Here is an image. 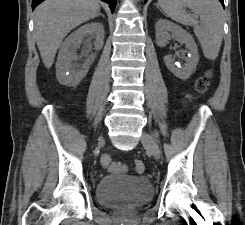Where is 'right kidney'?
Segmentation results:
<instances>
[{"label": "right kidney", "mask_w": 245, "mask_h": 225, "mask_svg": "<svg viewBox=\"0 0 245 225\" xmlns=\"http://www.w3.org/2000/svg\"><path fill=\"white\" fill-rule=\"evenodd\" d=\"M85 38L87 48L91 47V40L94 39L95 49L100 50L104 45L103 25L97 22L85 24L71 33L61 44L56 62V77L62 85L77 86L88 73L93 56L82 65L73 62L78 59L76 51ZM87 53L86 49L82 54Z\"/></svg>", "instance_id": "right-kidney-1"}]
</instances>
